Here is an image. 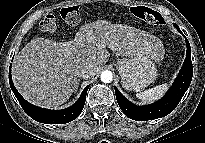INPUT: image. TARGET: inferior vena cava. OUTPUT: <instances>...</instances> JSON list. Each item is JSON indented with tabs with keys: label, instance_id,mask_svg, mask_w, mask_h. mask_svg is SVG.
<instances>
[{
	"label": "inferior vena cava",
	"instance_id": "obj_1",
	"mask_svg": "<svg viewBox=\"0 0 205 143\" xmlns=\"http://www.w3.org/2000/svg\"><path fill=\"white\" fill-rule=\"evenodd\" d=\"M96 74L95 67L91 65H86L80 70V76L82 78H91Z\"/></svg>",
	"mask_w": 205,
	"mask_h": 143
}]
</instances>
